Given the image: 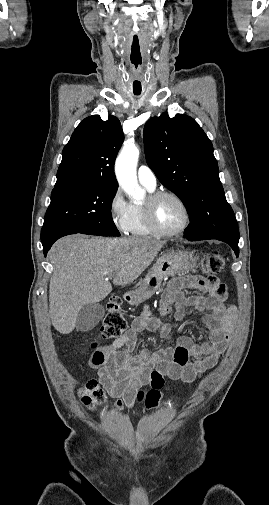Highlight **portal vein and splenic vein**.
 <instances>
[{"label":"portal vein and splenic vein","mask_w":269,"mask_h":505,"mask_svg":"<svg viewBox=\"0 0 269 505\" xmlns=\"http://www.w3.org/2000/svg\"><path fill=\"white\" fill-rule=\"evenodd\" d=\"M112 277H113V276H108V277L106 278V280H107L108 278H112Z\"/></svg>","instance_id":"18ae733b"}]
</instances>
